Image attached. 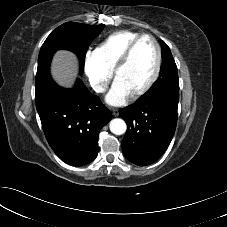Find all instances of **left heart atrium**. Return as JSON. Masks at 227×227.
I'll return each mask as SVG.
<instances>
[{"instance_id":"left-heart-atrium-1","label":"left heart atrium","mask_w":227,"mask_h":227,"mask_svg":"<svg viewBox=\"0 0 227 227\" xmlns=\"http://www.w3.org/2000/svg\"><path fill=\"white\" fill-rule=\"evenodd\" d=\"M128 93L116 81L106 96V101L114 106L122 105L128 98Z\"/></svg>"}]
</instances>
